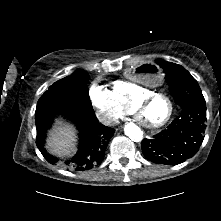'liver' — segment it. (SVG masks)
Wrapping results in <instances>:
<instances>
[{
	"label": "liver",
	"mask_w": 221,
	"mask_h": 221,
	"mask_svg": "<svg viewBox=\"0 0 221 221\" xmlns=\"http://www.w3.org/2000/svg\"><path fill=\"white\" fill-rule=\"evenodd\" d=\"M59 124L50 133L47 148L56 156L70 155L75 151V131L70 125Z\"/></svg>",
	"instance_id": "1"
}]
</instances>
